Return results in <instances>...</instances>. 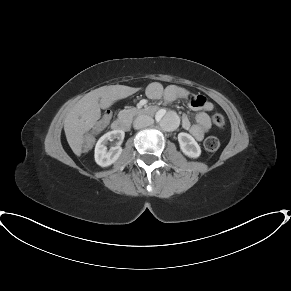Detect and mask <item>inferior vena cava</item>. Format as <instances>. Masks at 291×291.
<instances>
[{
  "label": "inferior vena cava",
  "instance_id": "1",
  "mask_svg": "<svg viewBox=\"0 0 291 291\" xmlns=\"http://www.w3.org/2000/svg\"><path fill=\"white\" fill-rule=\"evenodd\" d=\"M153 122L154 120L152 117L147 115H140L134 120L133 126L135 129H141L150 126L151 124H153Z\"/></svg>",
  "mask_w": 291,
  "mask_h": 291
}]
</instances>
